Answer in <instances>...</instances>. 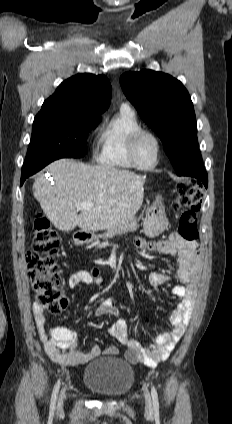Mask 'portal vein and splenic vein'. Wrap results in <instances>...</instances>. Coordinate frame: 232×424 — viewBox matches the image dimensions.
<instances>
[{
	"mask_svg": "<svg viewBox=\"0 0 232 424\" xmlns=\"http://www.w3.org/2000/svg\"><path fill=\"white\" fill-rule=\"evenodd\" d=\"M75 206L78 210H89L90 208H92L93 203L92 202H81V203H76Z\"/></svg>",
	"mask_w": 232,
	"mask_h": 424,
	"instance_id": "obj_1",
	"label": "portal vein and splenic vein"
}]
</instances>
